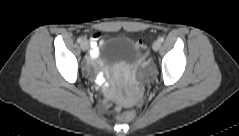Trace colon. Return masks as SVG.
Wrapping results in <instances>:
<instances>
[{
  "label": "colon",
  "instance_id": "5ec220e1",
  "mask_svg": "<svg viewBox=\"0 0 239 136\" xmlns=\"http://www.w3.org/2000/svg\"><path fill=\"white\" fill-rule=\"evenodd\" d=\"M139 105H140V101L135 100L133 107H131V110L127 114L122 115L120 118L122 120H131L134 116V109L137 108Z\"/></svg>",
  "mask_w": 239,
  "mask_h": 136
}]
</instances>
